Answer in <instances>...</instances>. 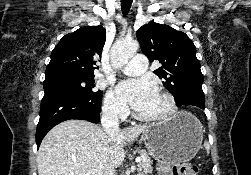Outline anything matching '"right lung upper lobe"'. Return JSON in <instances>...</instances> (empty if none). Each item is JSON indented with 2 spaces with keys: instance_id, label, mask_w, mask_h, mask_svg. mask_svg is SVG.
<instances>
[{
  "instance_id": "right-lung-upper-lobe-1",
  "label": "right lung upper lobe",
  "mask_w": 251,
  "mask_h": 175,
  "mask_svg": "<svg viewBox=\"0 0 251 175\" xmlns=\"http://www.w3.org/2000/svg\"><path fill=\"white\" fill-rule=\"evenodd\" d=\"M106 40V30L102 26L81 27L61 38L51 53V61L46 67V77L93 76L96 59Z\"/></svg>"
}]
</instances>
